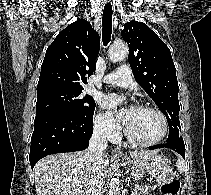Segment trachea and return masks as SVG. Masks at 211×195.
<instances>
[{"label": "trachea", "instance_id": "obj_1", "mask_svg": "<svg viewBox=\"0 0 211 195\" xmlns=\"http://www.w3.org/2000/svg\"><path fill=\"white\" fill-rule=\"evenodd\" d=\"M112 5L105 4L102 17V40L104 46H107L111 39L112 34Z\"/></svg>", "mask_w": 211, "mask_h": 195}]
</instances>
